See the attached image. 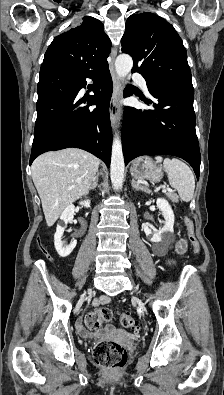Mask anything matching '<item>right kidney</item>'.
Instances as JSON below:
<instances>
[{
	"instance_id": "right-kidney-1",
	"label": "right kidney",
	"mask_w": 224,
	"mask_h": 395,
	"mask_svg": "<svg viewBox=\"0 0 224 395\" xmlns=\"http://www.w3.org/2000/svg\"><path fill=\"white\" fill-rule=\"evenodd\" d=\"M80 204L82 206L89 207L90 200L81 201ZM74 212H75V206L71 204L64 209V211L62 212V214L60 216V219L65 224H67L68 222L72 221ZM64 230H65V227L58 225L56 228V233L54 235L55 249L60 257L69 256L77 244V241L73 240L69 245H64V243L62 241V236H63Z\"/></svg>"
}]
</instances>
